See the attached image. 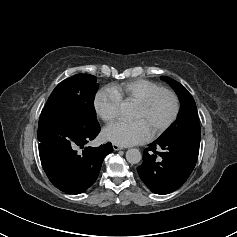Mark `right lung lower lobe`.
I'll list each match as a JSON object with an SVG mask.
<instances>
[{
	"label": "right lung lower lobe",
	"instance_id": "right-lung-lower-lobe-1",
	"mask_svg": "<svg viewBox=\"0 0 237 237\" xmlns=\"http://www.w3.org/2000/svg\"><path fill=\"white\" fill-rule=\"evenodd\" d=\"M100 132L96 128L77 130L68 124L40 118L39 155L51 183L63 192L79 194L97 179L104 157L113 151L111 143L85 147ZM84 149L82 152L78 149Z\"/></svg>",
	"mask_w": 237,
	"mask_h": 237
}]
</instances>
